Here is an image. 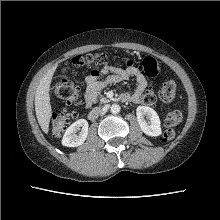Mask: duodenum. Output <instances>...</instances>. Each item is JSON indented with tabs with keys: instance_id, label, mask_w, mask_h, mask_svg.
I'll list each match as a JSON object with an SVG mask.
<instances>
[{
	"instance_id": "duodenum-1",
	"label": "duodenum",
	"mask_w": 220,
	"mask_h": 220,
	"mask_svg": "<svg viewBox=\"0 0 220 220\" xmlns=\"http://www.w3.org/2000/svg\"><path fill=\"white\" fill-rule=\"evenodd\" d=\"M102 111V107H95L93 108L89 113H88V118L90 120H95L96 118H98V116L100 115Z\"/></svg>"
}]
</instances>
